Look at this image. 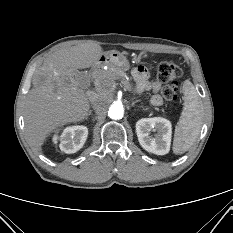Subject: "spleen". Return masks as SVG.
I'll return each instance as SVG.
<instances>
[{
    "label": "spleen",
    "mask_w": 233,
    "mask_h": 233,
    "mask_svg": "<svg viewBox=\"0 0 233 233\" xmlns=\"http://www.w3.org/2000/svg\"><path fill=\"white\" fill-rule=\"evenodd\" d=\"M184 108L175 127L173 152L183 154L196 141L202 127L203 110L201 99L190 81L183 84Z\"/></svg>",
    "instance_id": "1"
}]
</instances>
